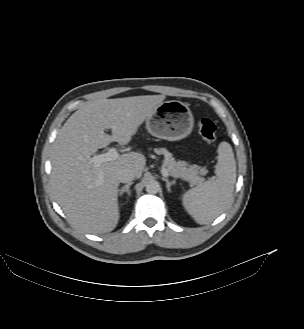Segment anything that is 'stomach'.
<instances>
[{"label": "stomach", "mask_w": 304, "mask_h": 329, "mask_svg": "<svg viewBox=\"0 0 304 329\" xmlns=\"http://www.w3.org/2000/svg\"><path fill=\"white\" fill-rule=\"evenodd\" d=\"M194 126L190 108L177 100L162 102L146 119L148 132L157 138L176 141L187 137Z\"/></svg>", "instance_id": "obj_1"}]
</instances>
